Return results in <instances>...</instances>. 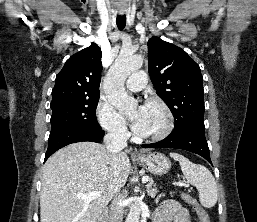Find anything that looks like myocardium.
<instances>
[{"mask_svg":"<svg viewBox=\"0 0 257 222\" xmlns=\"http://www.w3.org/2000/svg\"><path fill=\"white\" fill-rule=\"evenodd\" d=\"M147 105H156L161 108L164 113L165 121L163 127L151 134L143 135L142 138L151 141H160L165 139L174 128V115L168 104L158 97H152L147 101Z\"/></svg>","mask_w":257,"mask_h":222,"instance_id":"f54148a6","label":"myocardium"}]
</instances>
